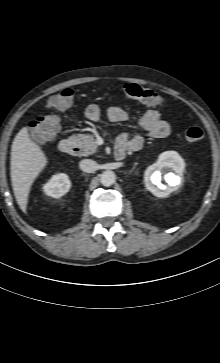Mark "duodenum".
<instances>
[{
	"mask_svg": "<svg viewBox=\"0 0 220 363\" xmlns=\"http://www.w3.org/2000/svg\"><path fill=\"white\" fill-rule=\"evenodd\" d=\"M59 150L63 154L72 155L78 152L79 148L75 139L66 138L59 143ZM114 155L116 160H123L126 157V149L123 147H116Z\"/></svg>",
	"mask_w": 220,
	"mask_h": 363,
	"instance_id": "410a0bca",
	"label": "duodenum"
}]
</instances>
